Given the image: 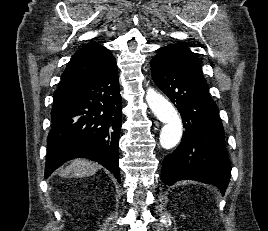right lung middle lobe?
I'll return each mask as SVG.
<instances>
[{
  "mask_svg": "<svg viewBox=\"0 0 268 231\" xmlns=\"http://www.w3.org/2000/svg\"><path fill=\"white\" fill-rule=\"evenodd\" d=\"M72 94V91H60V92H54L53 94V105H60L64 101H66L70 95Z\"/></svg>",
  "mask_w": 268,
  "mask_h": 231,
  "instance_id": "dd1d6c3e",
  "label": "right lung middle lobe"
}]
</instances>
